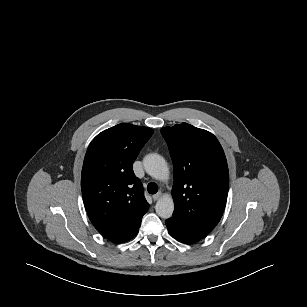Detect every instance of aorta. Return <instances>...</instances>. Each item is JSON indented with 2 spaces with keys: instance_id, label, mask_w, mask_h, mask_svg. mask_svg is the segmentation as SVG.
<instances>
[{
  "instance_id": "obj_1",
  "label": "aorta",
  "mask_w": 307,
  "mask_h": 307,
  "mask_svg": "<svg viewBox=\"0 0 307 307\" xmlns=\"http://www.w3.org/2000/svg\"><path fill=\"white\" fill-rule=\"evenodd\" d=\"M144 169L147 174L157 180H166L169 177V168L165 159L156 153L148 154L143 159ZM159 217L168 219L174 211V202L171 196L161 197L155 206Z\"/></svg>"
}]
</instances>
